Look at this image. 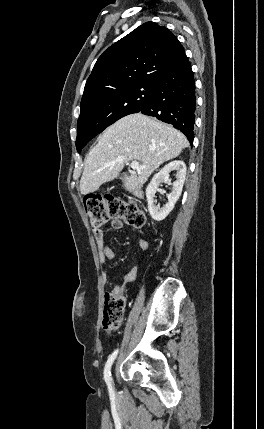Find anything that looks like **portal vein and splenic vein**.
Returning <instances> with one entry per match:
<instances>
[{"label": "portal vein and splenic vein", "mask_w": 264, "mask_h": 429, "mask_svg": "<svg viewBox=\"0 0 264 429\" xmlns=\"http://www.w3.org/2000/svg\"><path fill=\"white\" fill-rule=\"evenodd\" d=\"M130 166L133 170H136V171H141V170L145 169V166H140L139 162H137V161H132Z\"/></svg>", "instance_id": "obj_1"}]
</instances>
